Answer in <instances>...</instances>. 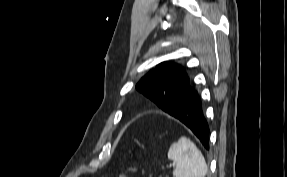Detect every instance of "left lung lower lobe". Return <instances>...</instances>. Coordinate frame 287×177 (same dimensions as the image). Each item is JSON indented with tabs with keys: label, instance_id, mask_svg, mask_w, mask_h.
<instances>
[{
	"label": "left lung lower lobe",
	"instance_id": "1",
	"mask_svg": "<svg viewBox=\"0 0 287 177\" xmlns=\"http://www.w3.org/2000/svg\"><path fill=\"white\" fill-rule=\"evenodd\" d=\"M168 114L183 122L199 138L206 149H209V128L203 116L198 93L189 87L170 99Z\"/></svg>",
	"mask_w": 287,
	"mask_h": 177
}]
</instances>
